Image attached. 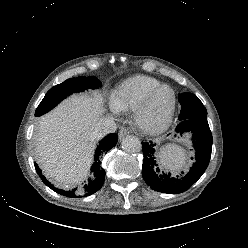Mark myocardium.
Returning <instances> with one entry per match:
<instances>
[{
    "instance_id": "f54148a6",
    "label": "myocardium",
    "mask_w": 248,
    "mask_h": 248,
    "mask_svg": "<svg viewBox=\"0 0 248 248\" xmlns=\"http://www.w3.org/2000/svg\"><path fill=\"white\" fill-rule=\"evenodd\" d=\"M169 90L171 93V104L170 107L168 109V112L165 116V118L156 124H149L146 123L143 120V115L145 113V111L147 110V108L149 107V105L151 104L152 100L154 99V97L162 90ZM176 105H177V96H176V92L175 90L166 84H162L159 87L153 89L150 93H148L144 99L134 108L133 110V122L135 124V126L148 134H157L160 133L164 130H166L170 124L172 123L174 114H175V110H176Z\"/></svg>"
}]
</instances>
